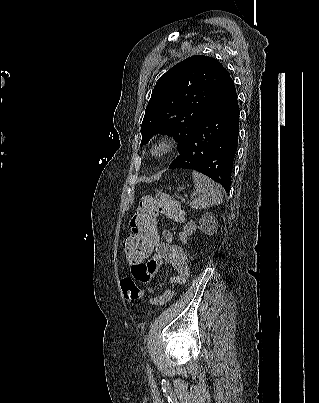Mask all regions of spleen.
<instances>
[{
  "instance_id": "spleen-1",
  "label": "spleen",
  "mask_w": 319,
  "mask_h": 403,
  "mask_svg": "<svg viewBox=\"0 0 319 403\" xmlns=\"http://www.w3.org/2000/svg\"><path fill=\"white\" fill-rule=\"evenodd\" d=\"M192 177L194 180L196 193H198V198H195L190 203L191 208L203 209L222 203L223 194L219 185H217L204 174H201L197 171L192 172Z\"/></svg>"
}]
</instances>
